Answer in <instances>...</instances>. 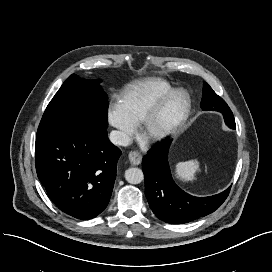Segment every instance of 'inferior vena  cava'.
<instances>
[{
  "label": "inferior vena cava",
  "instance_id": "inferior-vena-cava-1",
  "mask_svg": "<svg viewBox=\"0 0 272 272\" xmlns=\"http://www.w3.org/2000/svg\"><path fill=\"white\" fill-rule=\"evenodd\" d=\"M109 139L114 145L118 146H128L131 143V138L128 134L117 130L111 131Z\"/></svg>",
  "mask_w": 272,
  "mask_h": 272
}]
</instances>
